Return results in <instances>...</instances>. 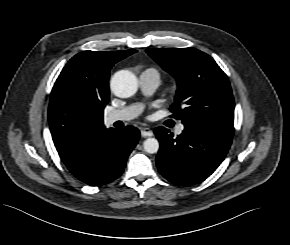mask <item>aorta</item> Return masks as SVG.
<instances>
[{
  "label": "aorta",
  "instance_id": "obj_1",
  "mask_svg": "<svg viewBox=\"0 0 290 245\" xmlns=\"http://www.w3.org/2000/svg\"><path fill=\"white\" fill-rule=\"evenodd\" d=\"M111 89L113 93L121 98H127L134 95L138 88L136 76L128 71L121 70L116 72L111 79ZM144 150L149 154L157 153L159 142L156 138H147L144 143Z\"/></svg>",
  "mask_w": 290,
  "mask_h": 245
}]
</instances>
